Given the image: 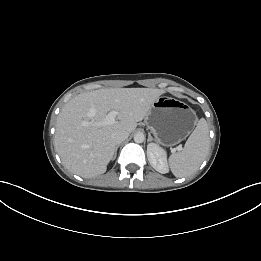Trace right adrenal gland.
<instances>
[{
  "instance_id": "obj_1",
  "label": "right adrenal gland",
  "mask_w": 261,
  "mask_h": 261,
  "mask_svg": "<svg viewBox=\"0 0 261 261\" xmlns=\"http://www.w3.org/2000/svg\"><path fill=\"white\" fill-rule=\"evenodd\" d=\"M118 148H119V145H117V146L115 147L113 160H114V159L116 158V156H117V150H118Z\"/></svg>"
}]
</instances>
